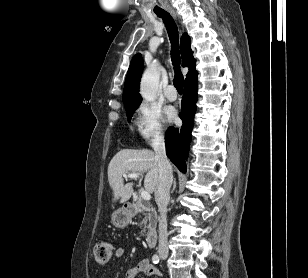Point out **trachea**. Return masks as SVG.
<instances>
[{
    "mask_svg": "<svg viewBox=\"0 0 308 278\" xmlns=\"http://www.w3.org/2000/svg\"><path fill=\"white\" fill-rule=\"evenodd\" d=\"M157 16L162 18L171 42V59L175 70L173 84L177 89V91L179 93H182L184 85V77L179 69L180 54H179V36H178L177 25L173 20V18L171 17V15L165 11L157 13Z\"/></svg>",
    "mask_w": 308,
    "mask_h": 278,
    "instance_id": "obj_1",
    "label": "trachea"
}]
</instances>
